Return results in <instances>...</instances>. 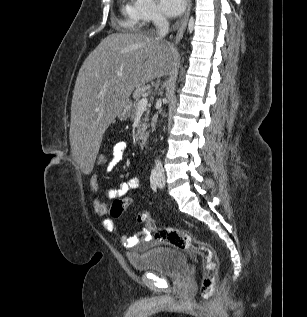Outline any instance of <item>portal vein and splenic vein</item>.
I'll list each match as a JSON object with an SVG mask.
<instances>
[{
	"instance_id": "18ae733b",
	"label": "portal vein and splenic vein",
	"mask_w": 307,
	"mask_h": 317,
	"mask_svg": "<svg viewBox=\"0 0 307 317\" xmlns=\"http://www.w3.org/2000/svg\"><path fill=\"white\" fill-rule=\"evenodd\" d=\"M148 103V99L146 97H142L137 105V112H142L146 109Z\"/></svg>"
}]
</instances>
